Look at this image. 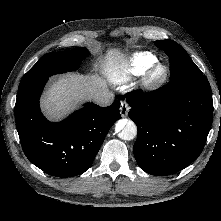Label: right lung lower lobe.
Masks as SVG:
<instances>
[{
  "instance_id": "obj_1",
  "label": "right lung lower lobe",
  "mask_w": 221,
  "mask_h": 221,
  "mask_svg": "<svg viewBox=\"0 0 221 221\" xmlns=\"http://www.w3.org/2000/svg\"><path fill=\"white\" fill-rule=\"evenodd\" d=\"M47 80L19 87L15 119L23 151L34 165L50 175L82 174L91 166L112 125L121 118L120 101L108 107L86 103L69 118L52 123L39 107Z\"/></svg>"
}]
</instances>
